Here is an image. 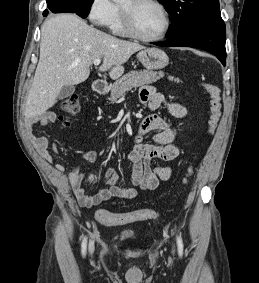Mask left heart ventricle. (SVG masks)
<instances>
[{
    "mask_svg": "<svg viewBox=\"0 0 259 283\" xmlns=\"http://www.w3.org/2000/svg\"><path fill=\"white\" fill-rule=\"evenodd\" d=\"M121 5L130 6V0H123ZM133 18L137 30L148 37L159 36L166 25L161 9L150 2H141L134 5Z\"/></svg>",
    "mask_w": 259,
    "mask_h": 283,
    "instance_id": "obj_1",
    "label": "left heart ventricle"
}]
</instances>
